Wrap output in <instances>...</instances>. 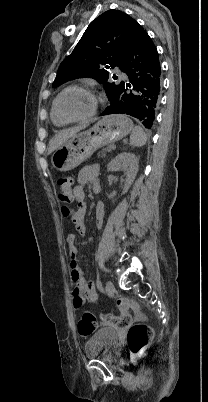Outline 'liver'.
<instances>
[{
    "label": "liver",
    "instance_id": "liver-1",
    "mask_svg": "<svg viewBox=\"0 0 208 402\" xmlns=\"http://www.w3.org/2000/svg\"><path fill=\"white\" fill-rule=\"evenodd\" d=\"M87 126H89V124H83V126H76V128H69V130H61V132L55 134L54 138L49 142L48 154H52L54 150H57V148L66 144L70 138H75L77 132L84 130Z\"/></svg>",
    "mask_w": 208,
    "mask_h": 402
}]
</instances>
